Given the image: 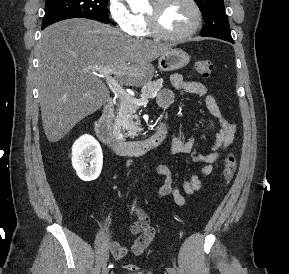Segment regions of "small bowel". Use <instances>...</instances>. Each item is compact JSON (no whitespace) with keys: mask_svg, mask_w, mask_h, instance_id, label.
<instances>
[{"mask_svg":"<svg viewBox=\"0 0 289 274\" xmlns=\"http://www.w3.org/2000/svg\"><path fill=\"white\" fill-rule=\"evenodd\" d=\"M172 86L184 95H199L204 98V103L209 113L213 117L210 123L209 131L215 133V138L208 151L204 154L195 151L197 142L196 137L184 140L178 134L171 137L170 149L173 155L185 154L191 157V160L199 165L197 171L186 176L182 182V189L185 194L193 195L202 188V177L211 175L214 171V164L221 158L222 154L232 144L236 124L228 121L222 114L214 96L208 93L207 87L197 81H185L179 74L171 76ZM174 102V94L169 89H163L158 95V103L164 109H169ZM155 175L165 178L163 185L157 192V198L172 196L178 206L186 204V198L181 190L176 186L173 173L169 166L161 164L154 168ZM137 220L131 225V234L134 236L130 252L138 256L150 245L154 236L155 229L150 224L148 216L141 210H136ZM110 251L116 261L123 260L128 254V248L120 245L118 242L110 243Z\"/></svg>","mask_w":289,"mask_h":274,"instance_id":"1","label":"small bowel"}]
</instances>
